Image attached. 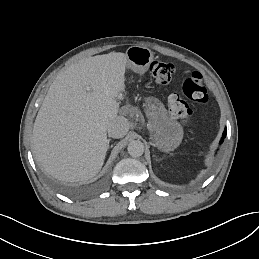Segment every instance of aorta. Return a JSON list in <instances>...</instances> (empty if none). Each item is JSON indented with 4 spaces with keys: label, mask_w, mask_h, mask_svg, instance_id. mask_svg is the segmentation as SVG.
Returning <instances> with one entry per match:
<instances>
[{
    "label": "aorta",
    "mask_w": 259,
    "mask_h": 259,
    "mask_svg": "<svg viewBox=\"0 0 259 259\" xmlns=\"http://www.w3.org/2000/svg\"><path fill=\"white\" fill-rule=\"evenodd\" d=\"M128 153L132 157H140L144 153V144L139 140H133L128 144Z\"/></svg>",
    "instance_id": "1"
}]
</instances>
